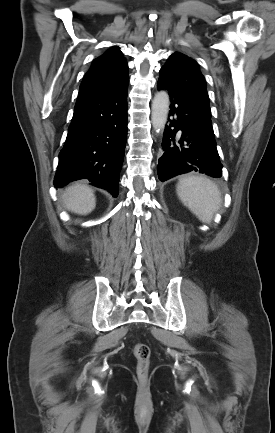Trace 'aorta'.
<instances>
[{"label":"aorta","instance_id":"obj_1","mask_svg":"<svg viewBox=\"0 0 275 433\" xmlns=\"http://www.w3.org/2000/svg\"><path fill=\"white\" fill-rule=\"evenodd\" d=\"M169 95L167 91H159L152 101L151 120L155 131L164 130L169 112Z\"/></svg>","mask_w":275,"mask_h":433}]
</instances>
